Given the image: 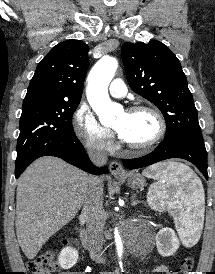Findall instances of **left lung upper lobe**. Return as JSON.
<instances>
[{
  "instance_id": "1",
  "label": "left lung upper lobe",
  "mask_w": 215,
  "mask_h": 274,
  "mask_svg": "<svg viewBox=\"0 0 215 274\" xmlns=\"http://www.w3.org/2000/svg\"><path fill=\"white\" fill-rule=\"evenodd\" d=\"M122 60L129 86L165 117V138L203 140L197 110L177 57L160 41L125 43Z\"/></svg>"
}]
</instances>
